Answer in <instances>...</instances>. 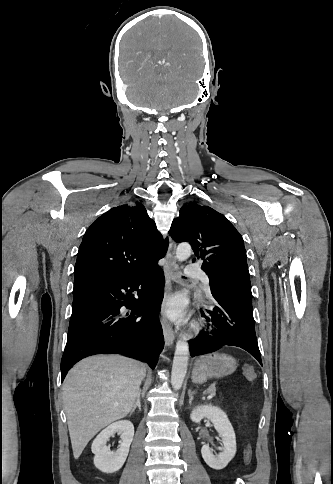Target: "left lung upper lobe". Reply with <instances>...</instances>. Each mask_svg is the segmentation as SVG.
Returning a JSON list of instances; mask_svg holds the SVG:
<instances>
[{
    "instance_id": "1",
    "label": "left lung upper lobe",
    "mask_w": 333,
    "mask_h": 484,
    "mask_svg": "<svg viewBox=\"0 0 333 484\" xmlns=\"http://www.w3.org/2000/svg\"><path fill=\"white\" fill-rule=\"evenodd\" d=\"M170 236L178 243L189 242L206 272L217 257L240 253L246 260L243 238L228 219L211 207L188 203L173 220Z\"/></svg>"
}]
</instances>
